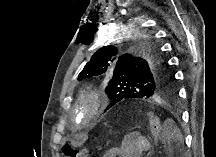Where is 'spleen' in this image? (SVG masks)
<instances>
[{
  "mask_svg": "<svg viewBox=\"0 0 216 157\" xmlns=\"http://www.w3.org/2000/svg\"><path fill=\"white\" fill-rule=\"evenodd\" d=\"M160 139L169 152H172L175 148L183 149V136L172 119L165 121Z\"/></svg>",
  "mask_w": 216,
  "mask_h": 157,
  "instance_id": "spleen-1",
  "label": "spleen"
}]
</instances>
